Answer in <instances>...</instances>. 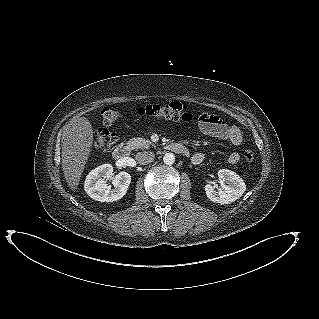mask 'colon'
<instances>
[{
    "label": "colon",
    "instance_id": "5ec220e1",
    "mask_svg": "<svg viewBox=\"0 0 319 319\" xmlns=\"http://www.w3.org/2000/svg\"><path fill=\"white\" fill-rule=\"evenodd\" d=\"M137 114L144 117L163 118L175 121H192L194 114L188 107L180 102H170L166 104H148L140 106ZM205 113L199 116L202 119ZM103 123L107 126L114 124L120 118V112L114 107H105L102 110ZM118 140L117 133L102 127L98 128L94 134V145L99 150H108ZM243 159L252 162L255 157L253 148L244 147L241 150Z\"/></svg>",
    "mask_w": 319,
    "mask_h": 319
}]
</instances>
